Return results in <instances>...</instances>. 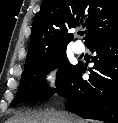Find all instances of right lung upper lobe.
I'll return each mask as SVG.
<instances>
[{"label":"right lung upper lobe","mask_w":118,"mask_h":123,"mask_svg":"<svg viewBox=\"0 0 118 123\" xmlns=\"http://www.w3.org/2000/svg\"><path fill=\"white\" fill-rule=\"evenodd\" d=\"M86 27L85 44L118 32V0H45L35 15L25 66L45 55L66 49L68 30Z\"/></svg>","instance_id":"cb5924a9"}]
</instances>
